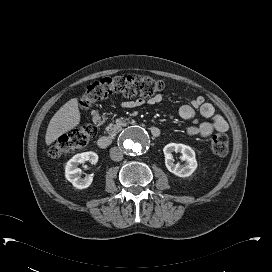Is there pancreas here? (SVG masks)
I'll return each mask as SVG.
<instances>
[{"instance_id": "obj_1", "label": "pancreas", "mask_w": 272, "mask_h": 272, "mask_svg": "<svg viewBox=\"0 0 272 272\" xmlns=\"http://www.w3.org/2000/svg\"><path fill=\"white\" fill-rule=\"evenodd\" d=\"M128 123H130V119L126 118H120L115 121V124L111 123L107 127V132L110 135H115L119 131H121L123 126H126Z\"/></svg>"}]
</instances>
